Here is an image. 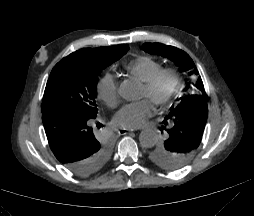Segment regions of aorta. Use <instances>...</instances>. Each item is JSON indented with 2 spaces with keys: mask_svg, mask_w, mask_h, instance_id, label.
Wrapping results in <instances>:
<instances>
[{
  "mask_svg": "<svg viewBox=\"0 0 254 216\" xmlns=\"http://www.w3.org/2000/svg\"><path fill=\"white\" fill-rule=\"evenodd\" d=\"M139 141L143 147L151 148L158 141V135L151 129L143 130L139 135Z\"/></svg>",
  "mask_w": 254,
  "mask_h": 216,
  "instance_id": "762f6f07",
  "label": "aorta"
}]
</instances>
